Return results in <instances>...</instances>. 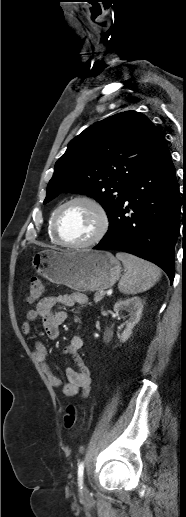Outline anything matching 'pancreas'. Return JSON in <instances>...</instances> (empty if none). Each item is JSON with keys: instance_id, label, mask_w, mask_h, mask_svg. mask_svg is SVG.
Wrapping results in <instances>:
<instances>
[{"instance_id": "pancreas-1", "label": "pancreas", "mask_w": 186, "mask_h": 517, "mask_svg": "<svg viewBox=\"0 0 186 517\" xmlns=\"http://www.w3.org/2000/svg\"><path fill=\"white\" fill-rule=\"evenodd\" d=\"M104 298V295L101 294V291H97L95 294H94V301L95 303H98L99 301H101L102 299Z\"/></svg>"}]
</instances>
